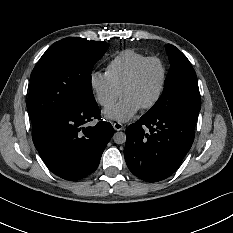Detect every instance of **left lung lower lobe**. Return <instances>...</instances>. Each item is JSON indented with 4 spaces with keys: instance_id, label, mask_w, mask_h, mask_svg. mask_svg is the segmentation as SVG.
<instances>
[{
    "instance_id": "left-lung-lower-lobe-1",
    "label": "left lung lower lobe",
    "mask_w": 233,
    "mask_h": 233,
    "mask_svg": "<svg viewBox=\"0 0 233 233\" xmlns=\"http://www.w3.org/2000/svg\"><path fill=\"white\" fill-rule=\"evenodd\" d=\"M196 120L189 115H143L128 126L124 156L129 170L146 182L168 178L191 148Z\"/></svg>"
}]
</instances>
